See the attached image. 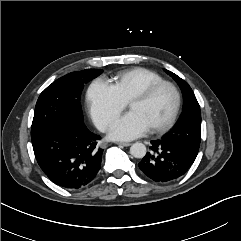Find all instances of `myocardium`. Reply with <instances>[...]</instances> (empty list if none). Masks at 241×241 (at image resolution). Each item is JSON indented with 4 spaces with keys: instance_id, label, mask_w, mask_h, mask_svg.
I'll list each match as a JSON object with an SVG mask.
<instances>
[{
    "instance_id": "obj_1",
    "label": "myocardium",
    "mask_w": 241,
    "mask_h": 241,
    "mask_svg": "<svg viewBox=\"0 0 241 241\" xmlns=\"http://www.w3.org/2000/svg\"><path fill=\"white\" fill-rule=\"evenodd\" d=\"M162 87H169L173 91L174 96H175V105H174L172 114L170 115L169 119L164 124L151 128L153 132H157V133L168 131L175 124V122L178 118L182 99H181V93H180L179 89L177 88V86L169 81H164V80L153 83V84L147 86L146 88H144L143 90H141L140 92H138L137 94H135L129 100V103H128V105L130 106L131 103H133L135 101H146L149 98H151L153 96V94Z\"/></svg>"
}]
</instances>
